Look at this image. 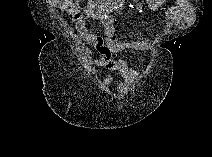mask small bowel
I'll list each match as a JSON object with an SVG mask.
<instances>
[{"label":"small bowel","instance_id":"c3829d8e","mask_svg":"<svg viewBox=\"0 0 212 157\" xmlns=\"http://www.w3.org/2000/svg\"><path fill=\"white\" fill-rule=\"evenodd\" d=\"M49 5L68 15L74 22V27H69L73 35H79L91 43L99 53V58H91L90 62L97 66L105 67L110 71L101 85L108 87L115 77L121 79L120 89H126L140 76L137 69L128 67L127 63L118 57L126 50H144L151 46L148 41L122 42L115 33L114 16L120 14L124 7L123 0H104L80 2L77 0H51ZM162 3H158L161 6ZM134 7L140 9L141 2H135ZM187 3L180 1L168 8L165 12L166 19L171 23L182 25L188 21ZM96 25L102 32L97 35L90 31L89 25Z\"/></svg>","mask_w":212,"mask_h":157}]
</instances>
